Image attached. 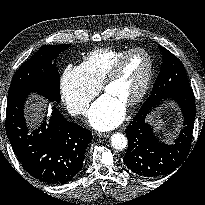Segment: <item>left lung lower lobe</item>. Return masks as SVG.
Masks as SVG:
<instances>
[{"mask_svg": "<svg viewBox=\"0 0 205 205\" xmlns=\"http://www.w3.org/2000/svg\"><path fill=\"white\" fill-rule=\"evenodd\" d=\"M168 99L179 104L184 116V129L173 145L160 142L151 125L146 122L150 112ZM195 115L194 93L191 89L173 91L154 105L145 102L125 129L128 149L123 161L126 166L142 177H158L173 172L189 151Z\"/></svg>", "mask_w": 205, "mask_h": 205, "instance_id": "obj_1", "label": "left lung lower lobe"}]
</instances>
